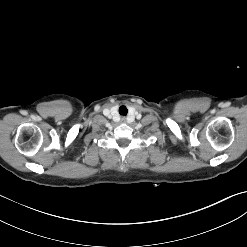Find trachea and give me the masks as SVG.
Listing matches in <instances>:
<instances>
[{"mask_svg":"<svg viewBox=\"0 0 247 247\" xmlns=\"http://www.w3.org/2000/svg\"><path fill=\"white\" fill-rule=\"evenodd\" d=\"M119 113L121 114V115H127V113H128V110H127V108L125 107V106H121L120 108H119Z\"/></svg>","mask_w":247,"mask_h":247,"instance_id":"trachea-1","label":"trachea"}]
</instances>
